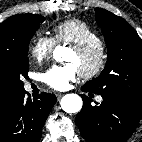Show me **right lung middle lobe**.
I'll return each mask as SVG.
<instances>
[{"label":"right lung middle lobe","mask_w":142,"mask_h":142,"mask_svg":"<svg viewBox=\"0 0 142 142\" xmlns=\"http://www.w3.org/2000/svg\"><path fill=\"white\" fill-rule=\"evenodd\" d=\"M43 16L28 14L14 37L0 46V90L20 93L24 91L23 77L29 70L28 45Z\"/></svg>","instance_id":"right-lung-middle-lobe-1"}]
</instances>
